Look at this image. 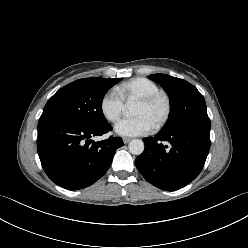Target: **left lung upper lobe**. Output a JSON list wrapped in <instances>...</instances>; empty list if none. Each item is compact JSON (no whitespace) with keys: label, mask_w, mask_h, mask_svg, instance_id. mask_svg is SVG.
I'll return each instance as SVG.
<instances>
[{"label":"left lung upper lobe","mask_w":248,"mask_h":248,"mask_svg":"<svg viewBox=\"0 0 248 248\" xmlns=\"http://www.w3.org/2000/svg\"><path fill=\"white\" fill-rule=\"evenodd\" d=\"M150 78L168 93L171 113L161 132H169L188 122L208 118L202 94L189 82L166 74H152Z\"/></svg>","instance_id":"5c2ea615"}]
</instances>
